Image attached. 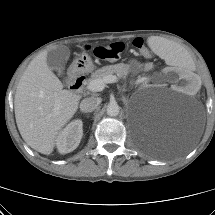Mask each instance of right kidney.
<instances>
[{
	"mask_svg": "<svg viewBox=\"0 0 215 215\" xmlns=\"http://www.w3.org/2000/svg\"><path fill=\"white\" fill-rule=\"evenodd\" d=\"M83 122L80 119L70 122L56 138V146L61 154L75 150L83 135Z\"/></svg>",
	"mask_w": 215,
	"mask_h": 215,
	"instance_id": "1",
	"label": "right kidney"
}]
</instances>
